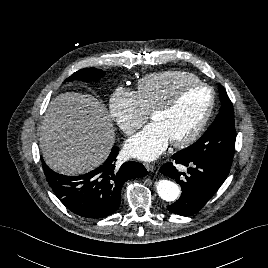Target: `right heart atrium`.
<instances>
[{"mask_svg": "<svg viewBox=\"0 0 268 268\" xmlns=\"http://www.w3.org/2000/svg\"><path fill=\"white\" fill-rule=\"evenodd\" d=\"M109 112L118 127L131 134L140 128L148 118V111L136 91L118 87L110 97Z\"/></svg>", "mask_w": 268, "mask_h": 268, "instance_id": "d8ad5b80", "label": "right heart atrium"}]
</instances>
